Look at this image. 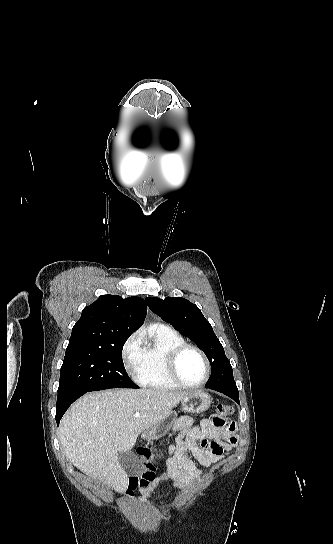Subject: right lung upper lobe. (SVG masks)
Returning <instances> with one entry per match:
<instances>
[{
    "instance_id": "right-lung-upper-lobe-1",
    "label": "right lung upper lobe",
    "mask_w": 333,
    "mask_h": 544,
    "mask_svg": "<svg viewBox=\"0 0 333 544\" xmlns=\"http://www.w3.org/2000/svg\"><path fill=\"white\" fill-rule=\"evenodd\" d=\"M146 312L140 297L102 295L83 309L72 328L67 349L106 346L120 336H130L143 324Z\"/></svg>"
}]
</instances>
